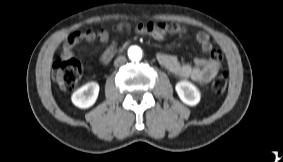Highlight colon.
I'll list each match as a JSON object with an SVG mask.
<instances>
[{
    "instance_id": "1",
    "label": "colon",
    "mask_w": 283,
    "mask_h": 162,
    "mask_svg": "<svg viewBox=\"0 0 283 162\" xmlns=\"http://www.w3.org/2000/svg\"><path fill=\"white\" fill-rule=\"evenodd\" d=\"M82 75V64L75 58L63 59L54 66L53 77L66 90L73 89ZM228 83V73L221 71L212 82V89L217 94L225 92Z\"/></svg>"
}]
</instances>
